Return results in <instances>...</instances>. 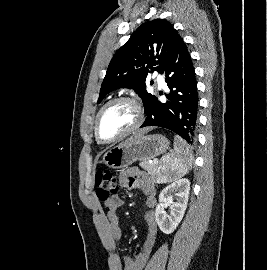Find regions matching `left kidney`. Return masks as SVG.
Returning <instances> with one entry per match:
<instances>
[{"label":"left kidney","instance_id":"1","mask_svg":"<svg viewBox=\"0 0 267 270\" xmlns=\"http://www.w3.org/2000/svg\"><path fill=\"white\" fill-rule=\"evenodd\" d=\"M160 182V180H158ZM190 182L188 179H178L167 185L159 195V204L155 210L156 222L165 234H171L181 222L188 204ZM172 194H175L174 202ZM171 205L170 215L164 208Z\"/></svg>","mask_w":267,"mask_h":270}]
</instances>
